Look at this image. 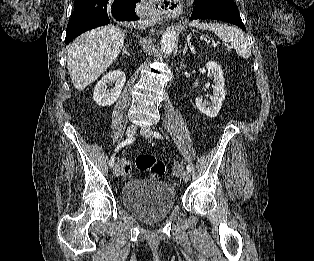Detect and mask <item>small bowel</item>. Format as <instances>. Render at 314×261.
<instances>
[{"label": "small bowel", "mask_w": 314, "mask_h": 261, "mask_svg": "<svg viewBox=\"0 0 314 261\" xmlns=\"http://www.w3.org/2000/svg\"><path fill=\"white\" fill-rule=\"evenodd\" d=\"M131 170V166L129 163H124V166H123V172L124 174H128Z\"/></svg>", "instance_id": "1"}]
</instances>
